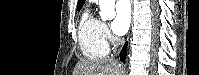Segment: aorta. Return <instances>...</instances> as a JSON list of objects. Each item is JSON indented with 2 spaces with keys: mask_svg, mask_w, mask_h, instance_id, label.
Returning <instances> with one entry per match:
<instances>
[{
  "mask_svg": "<svg viewBox=\"0 0 199 75\" xmlns=\"http://www.w3.org/2000/svg\"><path fill=\"white\" fill-rule=\"evenodd\" d=\"M100 16L102 20L113 19L115 13V0H99Z\"/></svg>",
  "mask_w": 199,
  "mask_h": 75,
  "instance_id": "aorta-1",
  "label": "aorta"
}]
</instances>
